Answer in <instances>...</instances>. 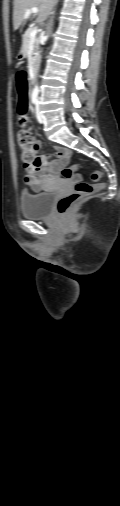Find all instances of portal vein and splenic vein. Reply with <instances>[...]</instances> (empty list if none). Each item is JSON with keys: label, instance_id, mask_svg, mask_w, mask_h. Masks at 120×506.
Masks as SVG:
<instances>
[{"label": "portal vein and splenic vein", "instance_id": "1", "mask_svg": "<svg viewBox=\"0 0 120 506\" xmlns=\"http://www.w3.org/2000/svg\"><path fill=\"white\" fill-rule=\"evenodd\" d=\"M31 12H32V13H37V12H38V8H37V7H32V8H30V9H28V10L26 11V14H25V15H26V16H28ZM37 31H38V29H37V28L32 29V31L30 32V36H31V37H34V36L37 34Z\"/></svg>", "mask_w": 120, "mask_h": 506}]
</instances>
